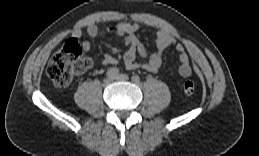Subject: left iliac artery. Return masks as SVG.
Segmentation results:
<instances>
[{
	"instance_id": "44dca946",
	"label": "left iliac artery",
	"mask_w": 259,
	"mask_h": 156,
	"mask_svg": "<svg viewBox=\"0 0 259 156\" xmlns=\"http://www.w3.org/2000/svg\"><path fill=\"white\" fill-rule=\"evenodd\" d=\"M132 81L135 83H139L140 77L138 75H134V76H132Z\"/></svg>"
}]
</instances>
